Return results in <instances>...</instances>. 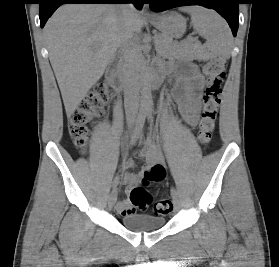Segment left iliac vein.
<instances>
[{
    "label": "left iliac vein",
    "instance_id": "4c4485c4",
    "mask_svg": "<svg viewBox=\"0 0 279 267\" xmlns=\"http://www.w3.org/2000/svg\"><path fill=\"white\" fill-rule=\"evenodd\" d=\"M173 203H174V210L178 211L180 209V202L177 196L173 197Z\"/></svg>",
    "mask_w": 279,
    "mask_h": 267
}]
</instances>
